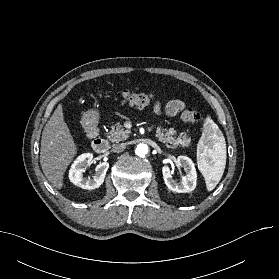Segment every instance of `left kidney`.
I'll list each match as a JSON object with an SVG mask.
<instances>
[{
	"mask_svg": "<svg viewBox=\"0 0 279 279\" xmlns=\"http://www.w3.org/2000/svg\"><path fill=\"white\" fill-rule=\"evenodd\" d=\"M177 166L183 167L186 174L182 177L180 182H177L172 178L170 168L163 166L162 173L163 179L168 187L173 192L177 193H189L196 187L197 173L193 161L187 156H178Z\"/></svg>",
	"mask_w": 279,
	"mask_h": 279,
	"instance_id": "5707ae66",
	"label": "left kidney"
}]
</instances>
